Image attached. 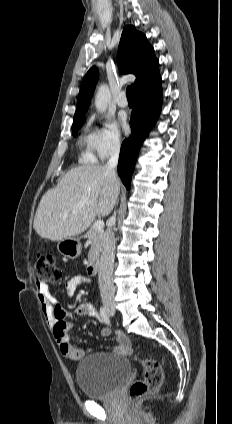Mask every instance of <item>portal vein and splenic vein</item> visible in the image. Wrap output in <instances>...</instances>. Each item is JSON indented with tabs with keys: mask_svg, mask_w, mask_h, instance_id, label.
<instances>
[{
	"mask_svg": "<svg viewBox=\"0 0 232 424\" xmlns=\"http://www.w3.org/2000/svg\"><path fill=\"white\" fill-rule=\"evenodd\" d=\"M93 227H94L96 230H103V227H104V222H103V220H97V221H95V223L93 224Z\"/></svg>",
	"mask_w": 232,
	"mask_h": 424,
	"instance_id": "portal-vein-and-splenic-vein-1",
	"label": "portal vein and splenic vein"
}]
</instances>
